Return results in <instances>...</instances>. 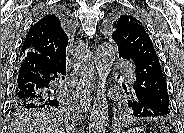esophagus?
<instances>
[{
    "instance_id": "obj_1",
    "label": "esophagus",
    "mask_w": 184,
    "mask_h": 133,
    "mask_svg": "<svg viewBox=\"0 0 184 133\" xmlns=\"http://www.w3.org/2000/svg\"><path fill=\"white\" fill-rule=\"evenodd\" d=\"M83 50L80 53V68L85 83V95L81 99L80 107L87 111L91 106L92 91L95 89V68L93 64V54L87 45L81 43Z\"/></svg>"
}]
</instances>
